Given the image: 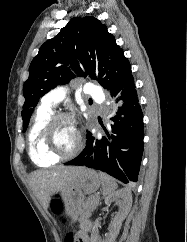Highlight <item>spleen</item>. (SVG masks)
<instances>
[{
    "instance_id": "3e777b00",
    "label": "spleen",
    "mask_w": 187,
    "mask_h": 242,
    "mask_svg": "<svg viewBox=\"0 0 187 242\" xmlns=\"http://www.w3.org/2000/svg\"><path fill=\"white\" fill-rule=\"evenodd\" d=\"M99 176L102 181L103 195L110 196L117 189L116 181L106 173H99Z\"/></svg>"
}]
</instances>
